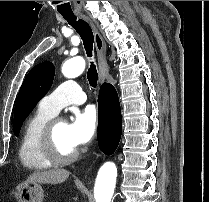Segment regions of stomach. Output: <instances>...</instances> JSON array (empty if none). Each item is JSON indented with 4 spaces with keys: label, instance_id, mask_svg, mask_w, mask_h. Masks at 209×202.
I'll list each match as a JSON object with an SVG mask.
<instances>
[{
    "label": "stomach",
    "instance_id": "0dacf381",
    "mask_svg": "<svg viewBox=\"0 0 209 202\" xmlns=\"http://www.w3.org/2000/svg\"><path fill=\"white\" fill-rule=\"evenodd\" d=\"M18 202H43L44 191L39 183L21 182L15 187Z\"/></svg>",
    "mask_w": 209,
    "mask_h": 202
}]
</instances>
